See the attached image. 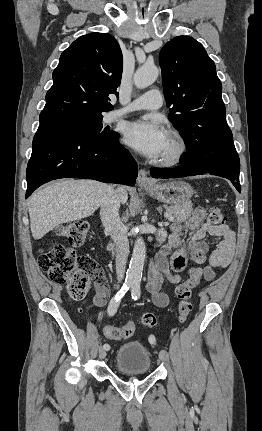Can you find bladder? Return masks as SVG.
Returning a JSON list of instances; mask_svg holds the SVG:
<instances>
[{
  "label": "bladder",
  "mask_w": 262,
  "mask_h": 431,
  "mask_svg": "<svg viewBox=\"0 0 262 431\" xmlns=\"http://www.w3.org/2000/svg\"><path fill=\"white\" fill-rule=\"evenodd\" d=\"M115 364L123 373L142 375L150 371L151 358L143 342L129 341L117 349Z\"/></svg>",
  "instance_id": "1"
}]
</instances>
